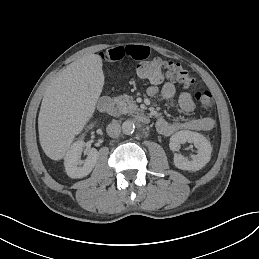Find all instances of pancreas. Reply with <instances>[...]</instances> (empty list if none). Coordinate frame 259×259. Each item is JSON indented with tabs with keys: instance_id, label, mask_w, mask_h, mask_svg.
Here are the masks:
<instances>
[{
	"instance_id": "cf45deb5",
	"label": "pancreas",
	"mask_w": 259,
	"mask_h": 259,
	"mask_svg": "<svg viewBox=\"0 0 259 259\" xmlns=\"http://www.w3.org/2000/svg\"><path fill=\"white\" fill-rule=\"evenodd\" d=\"M115 103L118 105L121 114H128L131 117L137 114V106L134 105L133 97L129 95L115 97Z\"/></svg>"
}]
</instances>
